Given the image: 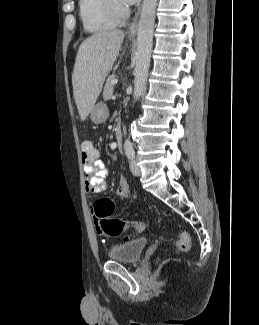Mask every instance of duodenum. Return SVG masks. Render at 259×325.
Listing matches in <instances>:
<instances>
[{
	"mask_svg": "<svg viewBox=\"0 0 259 325\" xmlns=\"http://www.w3.org/2000/svg\"><path fill=\"white\" fill-rule=\"evenodd\" d=\"M116 143L117 147L121 149L123 146V135L120 125H117L116 127Z\"/></svg>",
	"mask_w": 259,
	"mask_h": 325,
	"instance_id": "410a0bca",
	"label": "duodenum"
}]
</instances>
